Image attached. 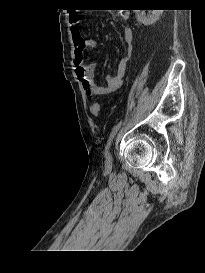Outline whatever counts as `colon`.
Returning <instances> with one entry per match:
<instances>
[{"instance_id": "colon-1", "label": "colon", "mask_w": 205, "mask_h": 273, "mask_svg": "<svg viewBox=\"0 0 205 273\" xmlns=\"http://www.w3.org/2000/svg\"><path fill=\"white\" fill-rule=\"evenodd\" d=\"M90 111L94 116H99L101 111L100 104L97 102L93 103L90 107Z\"/></svg>"}]
</instances>
